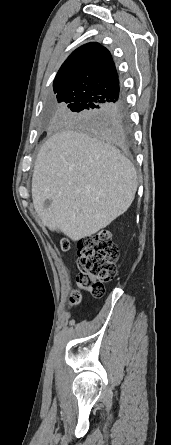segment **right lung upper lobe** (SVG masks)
Wrapping results in <instances>:
<instances>
[{"label": "right lung upper lobe", "instance_id": "obj_1", "mask_svg": "<svg viewBox=\"0 0 171 445\" xmlns=\"http://www.w3.org/2000/svg\"><path fill=\"white\" fill-rule=\"evenodd\" d=\"M54 92H87L103 101L122 98L110 52L90 42L76 49L62 64L53 83Z\"/></svg>", "mask_w": 171, "mask_h": 445}]
</instances>
